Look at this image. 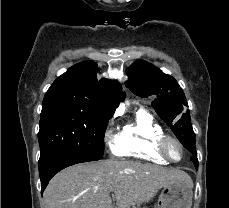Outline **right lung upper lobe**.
Segmentation results:
<instances>
[{
    "mask_svg": "<svg viewBox=\"0 0 229 208\" xmlns=\"http://www.w3.org/2000/svg\"><path fill=\"white\" fill-rule=\"evenodd\" d=\"M97 72L98 66L92 61L72 66L53 82L42 105L71 104L93 116L110 119L125 94L117 81L105 78L98 81Z\"/></svg>",
    "mask_w": 229,
    "mask_h": 208,
    "instance_id": "obj_1",
    "label": "right lung upper lobe"
}]
</instances>
